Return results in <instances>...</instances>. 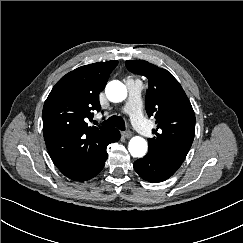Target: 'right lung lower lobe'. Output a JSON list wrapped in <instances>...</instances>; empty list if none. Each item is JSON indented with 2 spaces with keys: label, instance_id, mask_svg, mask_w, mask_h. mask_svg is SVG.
<instances>
[{
  "label": "right lung lower lobe",
  "instance_id": "1",
  "mask_svg": "<svg viewBox=\"0 0 243 243\" xmlns=\"http://www.w3.org/2000/svg\"><path fill=\"white\" fill-rule=\"evenodd\" d=\"M120 139V133L116 130L107 140L103 150L85 167L77 169L59 168V170L68 178L75 181H86L95 177L104 167L108 154L106 147L108 144Z\"/></svg>",
  "mask_w": 243,
  "mask_h": 243
}]
</instances>
